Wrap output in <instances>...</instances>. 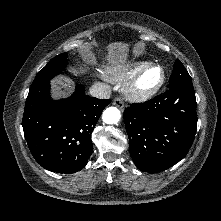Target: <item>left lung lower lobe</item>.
<instances>
[{"instance_id":"obj_1","label":"left lung lower lobe","mask_w":221,"mask_h":221,"mask_svg":"<svg viewBox=\"0 0 221 221\" xmlns=\"http://www.w3.org/2000/svg\"><path fill=\"white\" fill-rule=\"evenodd\" d=\"M130 155L144 172L164 171L182 160L196 133L192 80H182L162 95L124 111Z\"/></svg>"}]
</instances>
